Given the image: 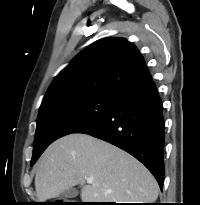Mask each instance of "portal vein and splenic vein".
<instances>
[{"instance_id":"obj_1","label":"portal vein and splenic vein","mask_w":200,"mask_h":205,"mask_svg":"<svg viewBox=\"0 0 200 205\" xmlns=\"http://www.w3.org/2000/svg\"><path fill=\"white\" fill-rule=\"evenodd\" d=\"M87 183H89V184L93 183V179L87 178Z\"/></svg>"}]
</instances>
